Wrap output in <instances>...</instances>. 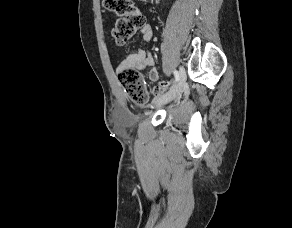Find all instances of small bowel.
Masks as SVG:
<instances>
[{
  "instance_id": "1",
  "label": "small bowel",
  "mask_w": 292,
  "mask_h": 228,
  "mask_svg": "<svg viewBox=\"0 0 292 228\" xmlns=\"http://www.w3.org/2000/svg\"><path fill=\"white\" fill-rule=\"evenodd\" d=\"M140 33L145 42H150L153 38V30L150 24L145 23V25L140 28ZM129 68H133L138 71L149 68L150 80L158 84L154 86L152 90L155 95L154 100L150 104H146L145 102L143 105H149L151 107L157 105L161 95L167 89L168 83L160 81L159 72L155 67V61L151 53L145 49H138L136 52L131 53L120 62L117 67V71L120 73L121 71Z\"/></svg>"
}]
</instances>
